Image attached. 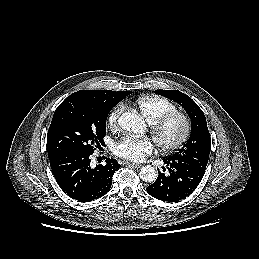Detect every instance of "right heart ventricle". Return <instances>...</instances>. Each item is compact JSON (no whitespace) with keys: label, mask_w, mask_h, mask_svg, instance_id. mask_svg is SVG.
<instances>
[{"label":"right heart ventricle","mask_w":259,"mask_h":259,"mask_svg":"<svg viewBox=\"0 0 259 259\" xmlns=\"http://www.w3.org/2000/svg\"><path fill=\"white\" fill-rule=\"evenodd\" d=\"M136 105L149 123L166 112L176 110L170 100L157 95L141 96L136 100Z\"/></svg>","instance_id":"obj_1"}]
</instances>
